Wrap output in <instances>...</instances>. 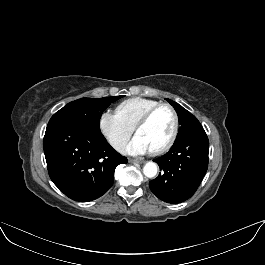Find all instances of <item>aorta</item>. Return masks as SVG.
<instances>
[{"instance_id": "obj_1", "label": "aorta", "mask_w": 265, "mask_h": 265, "mask_svg": "<svg viewBox=\"0 0 265 265\" xmlns=\"http://www.w3.org/2000/svg\"><path fill=\"white\" fill-rule=\"evenodd\" d=\"M158 172L157 164L154 162H147L143 167V173L148 178H153Z\"/></svg>"}]
</instances>
